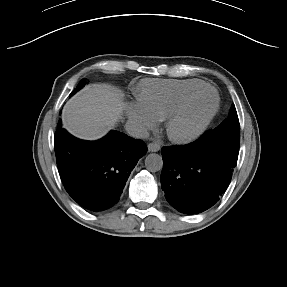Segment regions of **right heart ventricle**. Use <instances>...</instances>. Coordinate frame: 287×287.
<instances>
[{"label": "right heart ventricle", "mask_w": 287, "mask_h": 287, "mask_svg": "<svg viewBox=\"0 0 287 287\" xmlns=\"http://www.w3.org/2000/svg\"><path fill=\"white\" fill-rule=\"evenodd\" d=\"M203 85L206 83L197 79H144L138 86L137 100L157 121H162L188 92Z\"/></svg>", "instance_id": "obj_1"}]
</instances>
